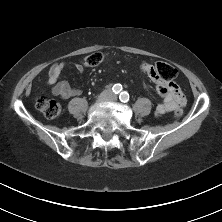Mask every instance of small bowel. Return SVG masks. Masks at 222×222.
Segmentation results:
<instances>
[{
	"label": "small bowel",
	"instance_id": "1",
	"mask_svg": "<svg viewBox=\"0 0 222 222\" xmlns=\"http://www.w3.org/2000/svg\"><path fill=\"white\" fill-rule=\"evenodd\" d=\"M64 67V63H55L50 67L48 72V84L52 86L51 92L53 95L68 99L72 96L79 95L81 91L72 88L67 81H58ZM74 67L79 72L84 71V66L80 63L74 64ZM141 69L157 84V91L163 98V102L156 106V115L159 116L175 111L185 104V97L177 84L174 82H165L160 73L151 64L144 63Z\"/></svg>",
	"mask_w": 222,
	"mask_h": 222
}]
</instances>
